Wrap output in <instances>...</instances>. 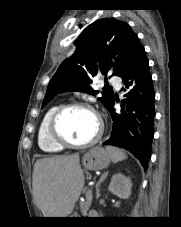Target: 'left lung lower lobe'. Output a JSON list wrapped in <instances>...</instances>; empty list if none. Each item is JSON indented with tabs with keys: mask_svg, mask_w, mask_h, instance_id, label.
Returning a JSON list of instances; mask_svg holds the SVG:
<instances>
[{
	"mask_svg": "<svg viewBox=\"0 0 181 227\" xmlns=\"http://www.w3.org/2000/svg\"><path fill=\"white\" fill-rule=\"evenodd\" d=\"M126 88L121 113H116L114 100L107 108L113 119L110 138L105 145L125 148L147 169L154 135L155 93L144 47L138 43L121 75Z\"/></svg>",
	"mask_w": 181,
	"mask_h": 227,
	"instance_id": "left-lung-lower-lobe-1",
	"label": "left lung lower lobe"
}]
</instances>
